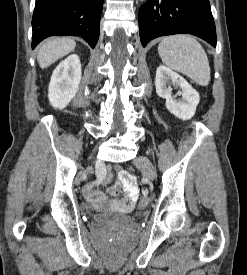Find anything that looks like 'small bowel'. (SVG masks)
Here are the masks:
<instances>
[{
    "label": "small bowel",
    "instance_id": "obj_1",
    "mask_svg": "<svg viewBox=\"0 0 247 275\" xmlns=\"http://www.w3.org/2000/svg\"><path fill=\"white\" fill-rule=\"evenodd\" d=\"M118 183L112 184L108 188V192L116 196L119 194V186L122 188L125 197L116 202V207L124 212L132 210L139 197V189L135 181V177L121 168H116ZM105 179V180H104ZM102 181H92L85 185L83 192L85 197L94 205L102 206L105 203V195L98 190V187L103 183H108L111 180V173Z\"/></svg>",
    "mask_w": 247,
    "mask_h": 275
}]
</instances>
